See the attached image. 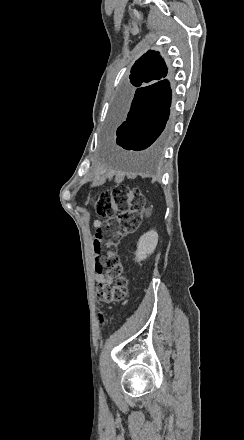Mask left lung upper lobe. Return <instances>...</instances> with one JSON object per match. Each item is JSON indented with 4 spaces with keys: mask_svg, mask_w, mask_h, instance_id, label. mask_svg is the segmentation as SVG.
<instances>
[{
    "mask_svg": "<svg viewBox=\"0 0 244 440\" xmlns=\"http://www.w3.org/2000/svg\"><path fill=\"white\" fill-rule=\"evenodd\" d=\"M167 73L166 64L159 53L149 50L132 66L130 84L133 89L147 86L164 78Z\"/></svg>",
    "mask_w": 244,
    "mask_h": 440,
    "instance_id": "left-lung-upper-lobe-1",
    "label": "left lung upper lobe"
}]
</instances>
